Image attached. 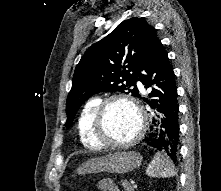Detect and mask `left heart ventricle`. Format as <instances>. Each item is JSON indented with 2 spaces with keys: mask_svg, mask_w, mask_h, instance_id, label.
Masks as SVG:
<instances>
[{
  "mask_svg": "<svg viewBox=\"0 0 221 191\" xmlns=\"http://www.w3.org/2000/svg\"><path fill=\"white\" fill-rule=\"evenodd\" d=\"M139 124V116L130 104L117 101L108 107L106 127L111 141L123 142L131 139L136 134Z\"/></svg>",
  "mask_w": 221,
  "mask_h": 191,
  "instance_id": "b2bd125f",
  "label": "left heart ventricle"
}]
</instances>
